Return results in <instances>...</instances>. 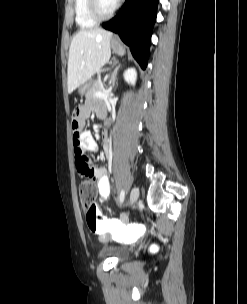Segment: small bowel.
Listing matches in <instances>:
<instances>
[{
    "label": "small bowel",
    "instance_id": "small-bowel-1",
    "mask_svg": "<svg viewBox=\"0 0 247 304\" xmlns=\"http://www.w3.org/2000/svg\"><path fill=\"white\" fill-rule=\"evenodd\" d=\"M91 110L96 113L98 111H105V107L100 102H89L86 105L75 108L72 112V132H73V146L74 154L76 158V168L80 175L90 176L96 181L97 191L100 197V201H106L110 198V184L107 171L104 168H96L91 165L85 152H96L98 150L95 139L89 131H83L85 119ZM111 145L106 136H104V151L109 153ZM87 159V167L81 168L78 164V159Z\"/></svg>",
    "mask_w": 247,
    "mask_h": 304
}]
</instances>
